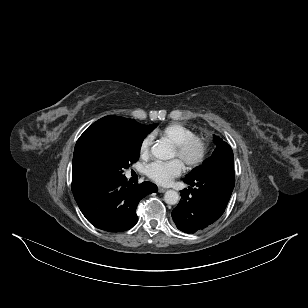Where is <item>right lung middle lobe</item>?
Masks as SVG:
<instances>
[{"instance_id":"right-lung-middle-lobe-1","label":"right lung middle lobe","mask_w":308,"mask_h":308,"mask_svg":"<svg viewBox=\"0 0 308 308\" xmlns=\"http://www.w3.org/2000/svg\"><path fill=\"white\" fill-rule=\"evenodd\" d=\"M158 124L145 125L138 137L133 140L117 142L106 148L100 156L102 178H121L124 169L139 159L140 148L145 136L153 131Z\"/></svg>"}]
</instances>
